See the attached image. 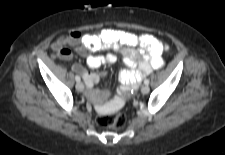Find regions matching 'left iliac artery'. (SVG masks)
I'll list each match as a JSON object with an SVG mask.
<instances>
[{"mask_svg": "<svg viewBox=\"0 0 225 155\" xmlns=\"http://www.w3.org/2000/svg\"><path fill=\"white\" fill-rule=\"evenodd\" d=\"M144 84H145V85H148V84H149V80H148V79H145V80H144Z\"/></svg>", "mask_w": 225, "mask_h": 155, "instance_id": "44dca946", "label": "left iliac artery"}]
</instances>
